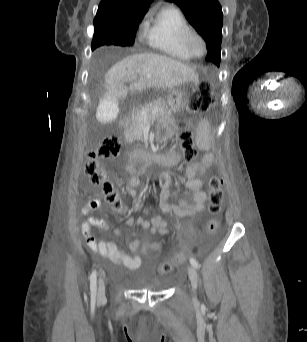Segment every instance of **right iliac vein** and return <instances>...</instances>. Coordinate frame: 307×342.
Wrapping results in <instances>:
<instances>
[{
	"mask_svg": "<svg viewBox=\"0 0 307 342\" xmlns=\"http://www.w3.org/2000/svg\"><path fill=\"white\" fill-rule=\"evenodd\" d=\"M105 296V285L102 279L99 280V287H98V299H104Z\"/></svg>",
	"mask_w": 307,
	"mask_h": 342,
	"instance_id": "63e3f726",
	"label": "right iliac vein"
}]
</instances>
